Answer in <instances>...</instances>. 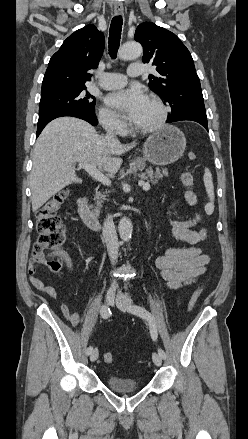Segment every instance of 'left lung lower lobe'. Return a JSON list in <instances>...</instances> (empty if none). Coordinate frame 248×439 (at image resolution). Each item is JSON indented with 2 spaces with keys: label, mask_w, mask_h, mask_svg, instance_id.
<instances>
[{
  "label": "left lung lower lobe",
  "mask_w": 248,
  "mask_h": 439,
  "mask_svg": "<svg viewBox=\"0 0 248 439\" xmlns=\"http://www.w3.org/2000/svg\"><path fill=\"white\" fill-rule=\"evenodd\" d=\"M195 121L200 123L206 130H208V123H207V116L205 114H199V113H182L179 115H176L175 117L168 118L166 122L172 123L177 121Z\"/></svg>",
  "instance_id": "0a47b994"
}]
</instances>
